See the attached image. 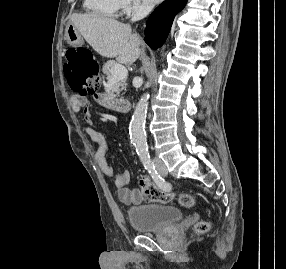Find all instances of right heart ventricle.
I'll list each match as a JSON object with an SVG mask.
<instances>
[{"instance_id": "obj_1", "label": "right heart ventricle", "mask_w": 286, "mask_h": 269, "mask_svg": "<svg viewBox=\"0 0 286 269\" xmlns=\"http://www.w3.org/2000/svg\"><path fill=\"white\" fill-rule=\"evenodd\" d=\"M84 9L97 17L117 18L122 9V0H84Z\"/></svg>"}]
</instances>
